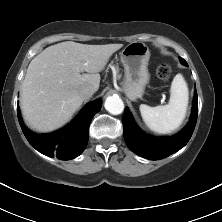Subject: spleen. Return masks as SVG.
<instances>
[{"mask_svg":"<svg viewBox=\"0 0 222 222\" xmlns=\"http://www.w3.org/2000/svg\"><path fill=\"white\" fill-rule=\"evenodd\" d=\"M188 107V87L181 74H177L171 84L169 103L151 107L140 105V112L146 126L159 134H168L183 123Z\"/></svg>","mask_w":222,"mask_h":222,"instance_id":"1","label":"spleen"}]
</instances>
